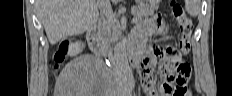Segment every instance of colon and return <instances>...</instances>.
Segmentation results:
<instances>
[{
	"instance_id": "colon-1",
	"label": "colon",
	"mask_w": 232,
	"mask_h": 96,
	"mask_svg": "<svg viewBox=\"0 0 232 96\" xmlns=\"http://www.w3.org/2000/svg\"><path fill=\"white\" fill-rule=\"evenodd\" d=\"M170 10L172 17L178 22L182 34L177 49L164 48L161 50L169 58L168 68L165 71V81L173 88L174 96H185L189 95L187 93V78L190 74V66L186 58L190 51L193 23L180 3L172 1ZM68 48L69 43L63 42L55 53L53 58L55 71L65 60Z\"/></svg>"
}]
</instances>
